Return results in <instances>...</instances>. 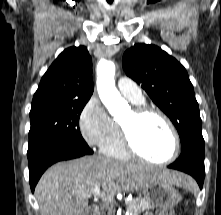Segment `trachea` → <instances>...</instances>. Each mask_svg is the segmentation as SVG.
I'll return each mask as SVG.
<instances>
[{"label": "trachea", "mask_w": 221, "mask_h": 215, "mask_svg": "<svg viewBox=\"0 0 221 215\" xmlns=\"http://www.w3.org/2000/svg\"><path fill=\"white\" fill-rule=\"evenodd\" d=\"M107 1H108V3H110V4L113 2V0H107Z\"/></svg>", "instance_id": "obj_1"}]
</instances>
